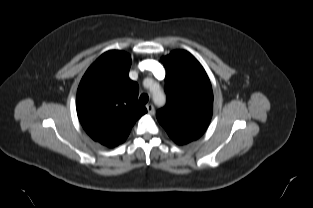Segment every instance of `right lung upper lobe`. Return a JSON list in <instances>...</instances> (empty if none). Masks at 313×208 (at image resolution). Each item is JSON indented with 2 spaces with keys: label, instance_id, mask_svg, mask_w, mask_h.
I'll list each match as a JSON object with an SVG mask.
<instances>
[{
  "label": "right lung upper lobe",
  "instance_id": "obj_1",
  "mask_svg": "<svg viewBox=\"0 0 313 208\" xmlns=\"http://www.w3.org/2000/svg\"><path fill=\"white\" fill-rule=\"evenodd\" d=\"M130 66L129 54L108 51L88 68L77 90L81 125L93 140L107 147L123 143L147 112L138 102V84L128 76Z\"/></svg>",
  "mask_w": 313,
  "mask_h": 208
}]
</instances>
